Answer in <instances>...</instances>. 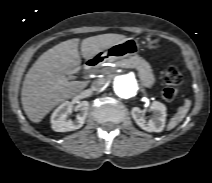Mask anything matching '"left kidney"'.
Segmentation results:
<instances>
[{
    "mask_svg": "<svg viewBox=\"0 0 212 183\" xmlns=\"http://www.w3.org/2000/svg\"><path fill=\"white\" fill-rule=\"evenodd\" d=\"M153 112V118L149 121L142 116V111L139 107H133L131 110L132 117L136 124L148 132H161L165 127L166 121V106L158 101H155L150 106Z\"/></svg>",
    "mask_w": 212,
    "mask_h": 183,
    "instance_id": "1",
    "label": "left kidney"
}]
</instances>
